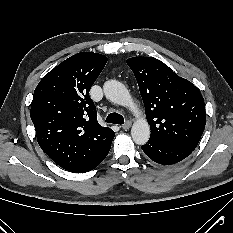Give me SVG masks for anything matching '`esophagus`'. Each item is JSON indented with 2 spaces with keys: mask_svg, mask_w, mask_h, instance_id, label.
I'll return each instance as SVG.
<instances>
[{
  "mask_svg": "<svg viewBox=\"0 0 233 233\" xmlns=\"http://www.w3.org/2000/svg\"><path fill=\"white\" fill-rule=\"evenodd\" d=\"M132 126V122L130 120L126 121V123L122 126L124 130H128Z\"/></svg>",
  "mask_w": 233,
  "mask_h": 233,
  "instance_id": "obj_1",
  "label": "esophagus"
}]
</instances>
